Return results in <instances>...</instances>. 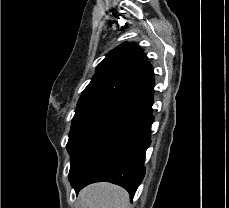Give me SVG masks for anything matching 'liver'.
<instances>
[{"label": "liver", "instance_id": "obj_1", "mask_svg": "<svg viewBox=\"0 0 229 208\" xmlns=\"http://www.w3.org/2000/svg\"><path fill=\"white\" fill-rule=\"evenodd\" d=\"M86 208H127L129 194L120 186L100 182L91 184L79 194Z\"/></svg>", "mask_w": 229, "mask_h": 208}]
</instances>
